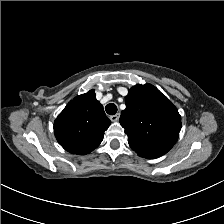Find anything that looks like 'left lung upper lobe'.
Listing matches in <instances>:
<instances>
[{"instance_id":"obj_1","label":"left lung upper lobe","mask_w":224,"mask_h":224,"mask_svg":"<svg viewBox=\"0 0 224 224\" xmlns=\"http://www.w3.org/2000/svg\"><path fill=\"white\" fill-rule=\"evenodd\" d=\"M120 124L130 147L141 157L158 158L176 143L181 116L173 103L151 84L135 85L125 98Z\"/></svg>"}]
</instances>
